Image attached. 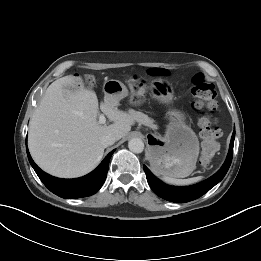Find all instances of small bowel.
<instances>
[{"label":"small bowel","instance_id":"small-bowel-1","mask_svg":"<svg viewBox=\"0 0 261 261\" xmlns=\"http://www.w3.org/2000/svg\"><path fill=\"white\" fill-rule=\"evenodd\" d=\"M151 73L153 75H166L167 74V72L165 70H163V69H153L151 71Z\"/></svg>","mask_w":261,"mask_h":261}]
</instances>
